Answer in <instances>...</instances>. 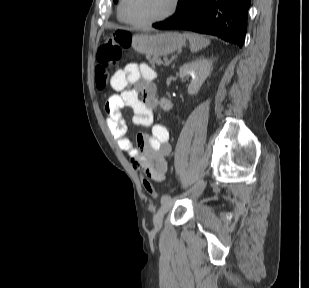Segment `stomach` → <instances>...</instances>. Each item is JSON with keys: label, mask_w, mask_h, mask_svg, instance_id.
<instances>
[{"label": "stomach", "mask_w": 309, "mask_h": 288, "mask_svg": "<svg viewBox=\"0 0 309 288\" xmlns=\"http://www.w3.org/2000/svg\"><path fill=\"white\" fill-rule=\"evenodd\" d=\"M185 43V37L177 32L136 34L132 37V47L135 51L149 57L168 55L180 49Z\"/></svg>", "instance_id": "0dacf381"}]
</instances>
